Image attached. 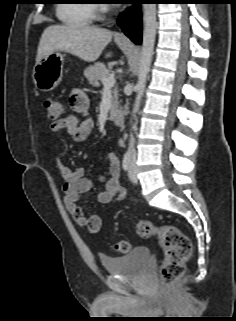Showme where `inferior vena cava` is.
Masks as SVG:
<instances>
[{
	"instance_id": "1",
	"label": "inferior vena cava",
	"mask_w": 236,
	"mask_h": 321,
	"mask_svg": "<svg viewBox=\"0 0 236 321\" xmlns=\"http://www.w3.org/2000/svg\"><path fill=\"white\" fill-rule=\"evenodd\" d=\"M133 137H131L130 144H129V151L131 155L134 157L135 156V149H134V144H133Z\"/></svg>"
}]
</instances>
